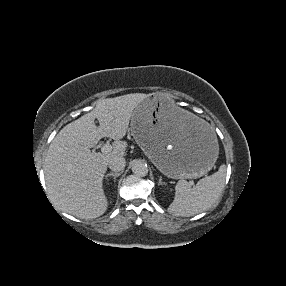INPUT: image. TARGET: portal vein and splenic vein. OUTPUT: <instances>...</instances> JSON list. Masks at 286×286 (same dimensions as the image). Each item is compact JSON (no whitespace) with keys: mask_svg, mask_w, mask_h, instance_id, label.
Here are the masks:
<instances>
[{"mask_svg":"<svg viewBox=\"0 0 286 286\" xmlns=\"http://www.w3.org/2000/svg\"><path fill=\"white\" fill-rule=\"evenodd\" d=\"M112 151V145H110V144H104L102 147H101V152L103 153V154H107V153H109V152H111Z\"/></svg>","mask_w":286,"mask_h":286,"instance_id":"obj_1","label":"portal vein and splenic vein"}]
</instances>
